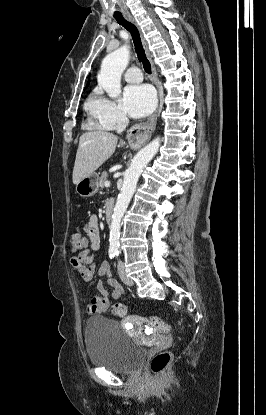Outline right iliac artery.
Listing matches in <instances>:
<instances>
[{
    "label": "right iliac artery",
    "instance_id": "right-iliac-artery-1",
    "mask_svg": "<svg viewBox=\"0 0 266 415\" xmlns=\"http://www.w3.org/2000/svg\"><path fill=\"white\" fill-rule=\"evenodd\" d=\"M115 255H116V252H114V251L109 252V256H110L111 259L114 258Z\"/></svg>",
    "mask_w": 266,
    "mask_h": 415
}]
</instances>
